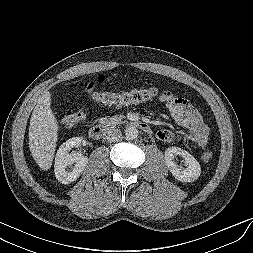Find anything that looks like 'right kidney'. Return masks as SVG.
<instances>
[{
    "label": "right kidney",
    "instance_id": "ca27d5eb",
    "mask_svg": "<svg viewBox=\"0 0 253 253\" xmlns=\"http://www.w3.org/2000/svg\"><path fill=\"white\" fill-rule=\"evenodd\" d=\"M81 143V137H74L59 147L54 164L55 176L59 182L69 184L77 180L87 166L89 161L87 157L77 153H69L73 147H78ZM72 165H74L72 170H68L67 167Z\"/></svg>",
    "mask_w": 253,
    "mask_h": 253
}]
</instances>
